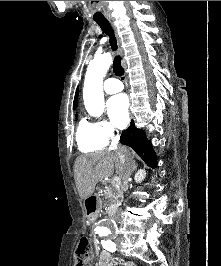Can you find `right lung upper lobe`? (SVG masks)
I'll list each match as a JSON object with an SVG mask.
<instances>
[{
	"mask_svg": "<svg viewBox=\"0 0 221 266\" xmlns=\"http://www.w3.org/2000/svg\"><path fill=\"white\" fill-rule=\"evenodd\" d=\"M77 99H78V88L76 90V94H75V97H74L73 108L77 107Z\"/></svg>",
	"mask_w": 221,
	"mask_h": 266,
	"instance_id": "right-lung-upper-lobe-1",
	"label": "right lung upper lobe"
}]
</instances>
